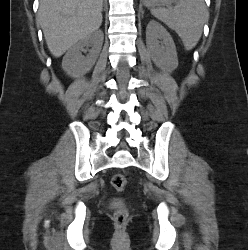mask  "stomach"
I'll return each mask as SVG.
<instances>
[{"instance_id": "0dacf381", "label": "stomach", "mask_w": 248, "mask_h": 250, "mask_svg": "<svg viewBox=\"0 0 248 250\" xmlns=\"http://www.w3.org/2000/svg\"><path fill=\"white\" fill-rule=\"evenodd\" d=\"M147 7H162L169 6L175 3L177 0H142Z\"/></svg>"}]
</instances>
